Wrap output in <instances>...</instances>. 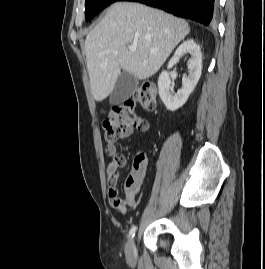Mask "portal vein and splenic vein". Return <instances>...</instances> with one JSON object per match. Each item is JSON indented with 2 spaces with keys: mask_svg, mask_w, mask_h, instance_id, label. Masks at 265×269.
Wrapping results in <instances>:
<instances>
[{
  "mask_svg": "<svg viewBox=\"0 0 265 269\" xmlns=\"http://www.w3.org/2000/svg\"><path fill=\"white\" fill-rule=\"evenodd\" d=\"M128 49H129L130 52H135L136 51V46H133V45L128 46ZM156 52H157V50H152L151 51V53H156Z\"/></svg>",
  "mask_w": 265,
  "mask_h": 269,
  "instance_id": "obj_1",
  "label": "portal vein and splenic vein"
}]
</instances>
